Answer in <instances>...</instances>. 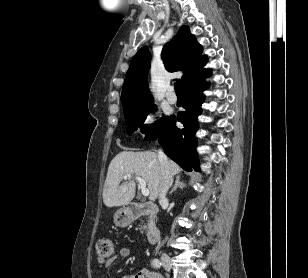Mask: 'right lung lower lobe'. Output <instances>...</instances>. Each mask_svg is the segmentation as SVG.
<instances>
[{
    "label": "right lung lower lobe",
    "mask_w": 308,
    "mask_h": 278,
    "mask_svg": "<svg viewBox=\"0 0 308 278\" xmlns=\"http://www.w3.org/2000/svg\"><path fill=\"white\" fill-rule=\"evenodd\" d=\"M204 78L187 87L184 92V112L171 116L159 138L164 152L186 171H200L196 153L198 129L197 117L201 114V104L204 101L203 90L207 88ZM176 119L183 125V129L176 127Z\"/></svg>",
    "instance_id": "98d812e1"
}]
</instances>
